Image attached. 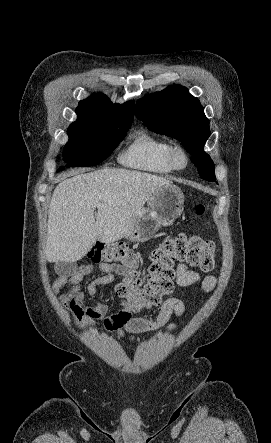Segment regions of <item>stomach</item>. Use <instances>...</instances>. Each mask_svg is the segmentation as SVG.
<instances>
[{
	"instance_id": "obj_1",
	"label": "stomach",
	"mask_w": 271,
	"mask_h": 443,
	"mask_svg": "<svg viewBox=\"0 0 271 443\" xmlns=\"http://www.w3.org/2000/svg\"><path fill=\"white\" fill-rule=\"evenodd\" d=\"M147 210L131 223L129 241H147L163 225H172L183 212L184 196L177 186H161L148 198Z\"/></svg>"
}]
</instances>
